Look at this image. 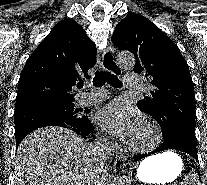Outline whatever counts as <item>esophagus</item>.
Segmentation results:
<instances>
[{"label":"esophagus","instance_id":"esophagus-1","mask_svg":"<svg viewBox=\"0 0 207 185\" xmlns=\"http://www.w3.org/2000/svg\"><path fill=\"white\" fill-rule=\"evenodd\" d=\"M113 55H115V50L106 49L102 55V64L104 67H107L110 72H112L116 75H121L123 68L117 66V63L114 62V61H116V56H113ZM120 161L123 162L122 165L124 166L125 161H126L125 156L121 151L116 150V152H115V165L117 163H119ZM122 165L119 166L118 168L119 169L122 168L123 167ZM119 169L117 170L118 172L120 171Z\"/></svg>","mask_w":207,"mask_h":185}]
</instances>
